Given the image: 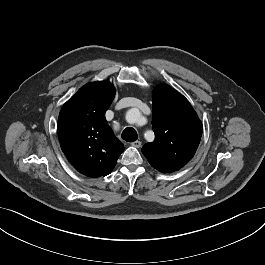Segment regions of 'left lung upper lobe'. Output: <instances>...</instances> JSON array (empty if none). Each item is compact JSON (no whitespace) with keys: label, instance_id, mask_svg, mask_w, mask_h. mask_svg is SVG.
<instances>
[{"label":"left lung upper lobe","instance_id":"left-lung-upper-lobe-1","mask_svg":"<svg viewBox=\"0 0 265 265\" xmlns=\"http://www.w3.org/2000/svg\"><path fill=\"white\" fill-rule=\"evenodd\" d=\"M155 140L142 148L152 167L162 173L181 169L194 156L202 135V124L188 100L168 85L153 91Z\"/></svg>","mask_w":265,"mask_h":265}]
</instances>
